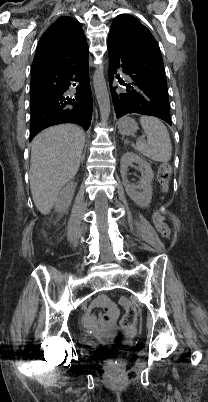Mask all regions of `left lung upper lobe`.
<instances>
[{"label":"left lung upper lobe","instance_id":"1","mask_svg":"<svg viewBox=\"0 0 208 402\" xmlns=\"http://www.w3.org/2000/svg\"><path fill=\"white\" fill-rule=\"evenodd\" d=\"M109 34L123 40L132 50V73L168 94L160 48L149 29L133 16L120 14L114 19Z\"/></svg>","mask_w":208,"mask_h":402}]
</instances>
